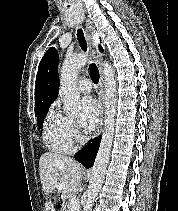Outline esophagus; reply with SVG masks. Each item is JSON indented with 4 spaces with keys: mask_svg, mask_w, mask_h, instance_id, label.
<instances>
[{
    "mask_svg": "<svg viewBox=\"0 0 178 211\" xmlns=\"http://www.w3.org/2000/svg\"><path fill=\"white\" fill-rule=\"evenodd\" d=\"M86 39L88 41L89 49L95 59L96 65L99 70V101L101 105L100 118L98 126L94 132L93 138H97L103 128L104 124V113H105V95H104V74L103 67L101 63V53L98 49V44L96 40L95 28L90 19H86V28H85Z\"/></svg>",
    "mask_w": 178,
    "mask_h": 211,
    "instance_id": "1",
    "label": "esophagus"
}]
</instances>
